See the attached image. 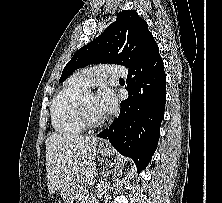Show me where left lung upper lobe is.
<instances>
[{
  "label": "left lung upper lobe",
  "mask_w": 222,
  "mask_h": 203,
  "mask_svg": "<svg viewBox=\"0 0 222 203\" xmlns=\"http://www.w3.org/2000/svg\"><path fill=\"white\" fill-rule=\"evenodd\" d=\"M150 34L147 23L135 10L120 12L100 36L74 54L59 82L89 64L111 63L130 68L141 55Z\"/></svg>",
  "instance_id": "left-lung-upper-lobe-1"
}]
</instances>
